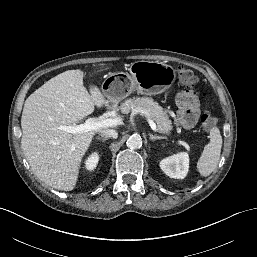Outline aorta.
Returning <instances> with one entry per match:
<instances>
[{"label":"aorta","mask_w":257,"mask_h":257,"mask_svg":"<svg viewBox=\"0 0 257 257\" xmlns=\"http://www.w3.org/2000/svg\"><path fill=\"white\" fill-rule=\"evenodd\" d=\"M126 145L130 149H139L142 146V138L138 135H132L128 138Z\"/></svg>","instance_id":"aorta-1"}]
</instances>
